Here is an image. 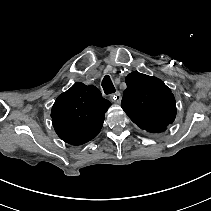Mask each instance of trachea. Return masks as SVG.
Returning a JSON list of instances; mask_svg holds the SVG:
<instances>
[{
	"instance_id": "trachea-1",
	"label": "trachea",
	"mask_w": 211,
	"mask_h": 211,
	"mask_svg": "<svg viewBox=\"0 0 211 211\" xmlns=\"http://www.w3.org/2000/svg\"><path fill=\"white\" fill-rule=\"evenodd\" d=\"M102 87L105 94H111L115 92V87L111 81V78L107 75L102 80Z\"/></svg>"
}]
</instances>
